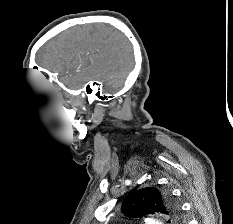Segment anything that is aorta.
<instances>
[{
  "label": "aorta",
  "mask_w": 233,
  "mask_h": 224,
  "mask_svg": "<svg viewBox=\"0 0 233 224\" xmlns=\"http://www.w3.org/2000/svg\"><path fill=\"white\" fill-rule=\"evenodd\" d=\"M147 224H162V223L159 222L158 220L150 219V220H148Z\"/></svg>",
  "instance_id": "762f6f07"
}]
</instances>
